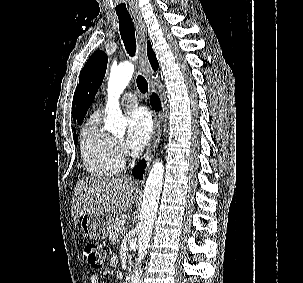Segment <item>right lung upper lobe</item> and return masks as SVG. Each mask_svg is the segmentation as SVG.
<instances>
[{
  "label": "right lung upper lobe",
  "mask_w": 303,
  "mask_h": 283,
  "mask_svg": "<svg viewBox=\"0 0 303 283\" xmlns=\"http://www.w3.org/2000/svg\"><path fill=\"white\" fill-rule=\"evenodd\" d=\"M147 54H148L149 61L152 65V68L156 71L158 69V62H157L156 55H155L154 51L152 50L151 44L149 41L147 42ZM74 100H75V98L73 99L72 114H73V119L75 120Z\"/></svg>",
  "instance_id": "1"
}]
</instances>
